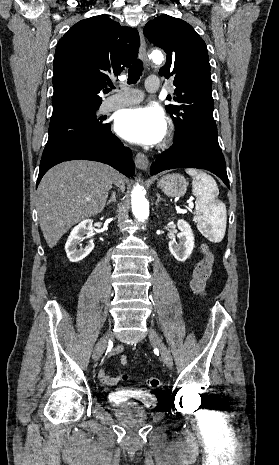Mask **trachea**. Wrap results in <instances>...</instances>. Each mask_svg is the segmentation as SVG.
<instances>
[{"label": "trachea", "mask_w": 279, "mask_h": 465, "mask_svg": "<svg viewBox=\"0 0 279 465\" xmlns=\"http://www.w3.org/2000/svg\"><path fill=\"white\" fill-rule=\"evenodd\" d=\"M143 71V63L141 60H136L133 62L132 66L129 68L128 71V83L135 84L140 76L142 75ZM110 88H114L112 84L109 85ZM106 91H110V89H106Z\"/></svg>", "instance_id": "trachea-1"}]
</instances>
